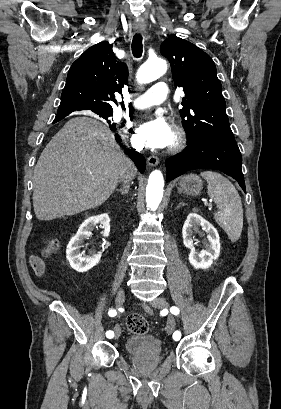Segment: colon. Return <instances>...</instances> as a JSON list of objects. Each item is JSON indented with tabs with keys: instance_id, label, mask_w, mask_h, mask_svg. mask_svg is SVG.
Returning <instances> with one entry per match:
<instances>
[{
	"instance_id": "obj_1",
	"label": "colon",
	"mask_w": 281,
	"mask_h": 409,
	"mask_svg": "<svg viewBox=\"0 0 281 409\" xmlns=\"http://www.w3.org/2000/svg\"><path fill=\"white\" fill-rule=\"evenodd\" d=\"M58 248L57 240L53 239L47 242V246L43 249V254L45 256H51ZM41 277V276H39ZM126 324L128 328L136 333V334H143L148 329V323L143 318L142 315L138 313H134L127 318Z\"/></svg>"
}]
</instances>
